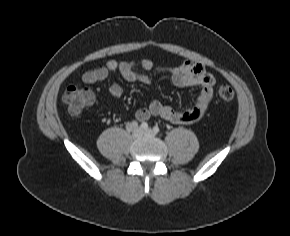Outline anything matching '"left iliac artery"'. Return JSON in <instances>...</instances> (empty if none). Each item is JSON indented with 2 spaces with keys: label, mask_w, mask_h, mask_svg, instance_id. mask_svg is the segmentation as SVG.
<instances>
[{
  "label": "left iliac artery",
  "mask_w": 290,
  "mask_h": 236,
  "mask_svg": "<svg viewBox=\"0 0 290 236\" xmlns=\"http://www.w3.org/2000/svg\"><path fill=\"white\" fill-rule=\"evenodd\" d=\"M153 131H154L155 133H158V132L160 131V129H159L158 126H154V127H153Z\"/></svg>",
  "instance_id": "left-iliac-artery-1"
}]
</instances>
